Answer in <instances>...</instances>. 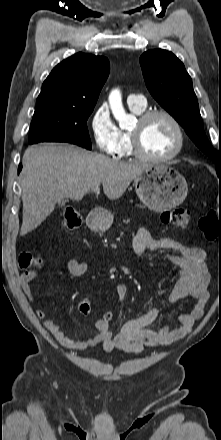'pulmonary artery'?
<instances>
[{"label":"pulmonary artery","mask_w":221,"mask_h":440,"mask_svg":"<svg viewBox=\"0 0 221 440\" xmlns=\"http://www.w3.org/2000/svg\"><path fill=\"white\" fill-rule=\"evenodd\" d=\"M127 103L131 106L145 107L146 99L143 95L131 94L127 98Z\"/></svg>","instance_id":"obj_1"}]
</instances>
